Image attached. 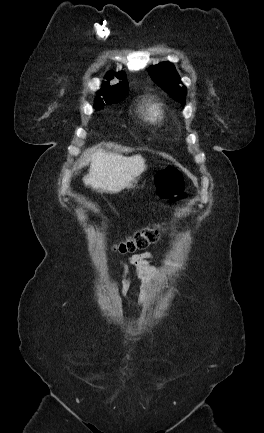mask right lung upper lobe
Returning <instances> with one entry per match:
<instances>
[{
	"label": "right lung upper lobe",
	"instance_id": "1",
	"mask_svg": "<svg viewBox=\"0 0 264 433\" xmlns=\"http://www.w3.org/2000/svg\"><path fill=\"white\" fill-rule=\"evenodd\" d=\"M115 75L118 79L123 81H120L118 84L113 86H109L108 81L103 82L102 84L103 91L98 92V97L96 101H103V99L99 97L100 95L103 96L104 101H111V100L123 98L126 95L128 90V82L127 80H125L126 79L125 73L119 72ZM113 77H114V73L109 72L106 74L105 79L111 80L113 79Z\"/></svg>",
	"mask_w": 264,
	"mask_h": 433
}]
</instances>
